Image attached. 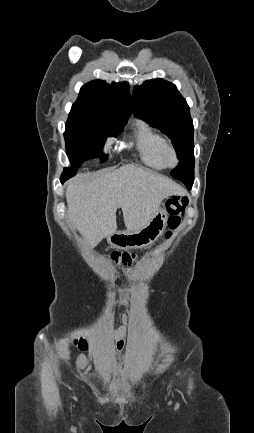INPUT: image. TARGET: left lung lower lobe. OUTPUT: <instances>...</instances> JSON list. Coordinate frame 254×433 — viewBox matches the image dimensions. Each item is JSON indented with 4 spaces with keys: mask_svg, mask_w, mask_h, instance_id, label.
Returning a JSON list of instances; mask_svg holds the SVG:
<instances>
[{
    "mask_svg": "<svg viewBox=\"0 0 254 433\" xmlns=\"http://www.w3.org/2000/svg\"><path fill=\"white\" fill-rule=\"evenodd\" d=\"M186 186H187L188 190H190L192 187V184H187Z\"/></svg>",
    "mask_w": 254,
    "mask_h": 433,
    "instance_id": "left-lung-lower-lobe-1",
    "label": "left lung lower lobe"
}]
</instances>
